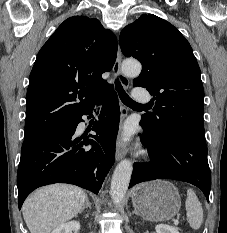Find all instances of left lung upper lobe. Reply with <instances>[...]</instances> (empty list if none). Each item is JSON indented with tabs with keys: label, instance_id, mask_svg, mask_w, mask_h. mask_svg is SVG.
<instances>
[{
	"label": "left lung upper lobe",
	"instance_id": "1",
	"mask_svg": "<svg viewBox=\"0 0 227 233\" xmlns=\"http://www.w3.org/2000/svg\"><path fill=\"white\" fill-rule=\"evenodd\" d=\"M119 43L125 56L142 62L133 85L155 98L154 112L141 120L143 129L155 138L172 132L205 143L201 72L185 37L168 21L143 14L122 30Z\"/></svg>",
	"mask_w": 227,
	"mask_h": 233
}]
</instances>
